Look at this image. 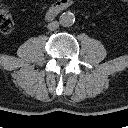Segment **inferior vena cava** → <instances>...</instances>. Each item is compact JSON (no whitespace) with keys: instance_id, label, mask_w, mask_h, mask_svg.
I'll use <instances>...</instances> for the list:
<instances>
[{"instance_id":"inferior-vena-cava-1","label":"inferior vena cava","mask_w":128,"mask_h":128,"mask_svg":"<svg viewBox=\"0 0 128 128\" xmlns=\"http://www.w3.org/2000/svg\"><path fill=\"white\" fill-rule=\"evenodd\" d=\"M59 27V22L58 21H52L50 22L48 25H47V28L50 30V31H55L56 29H58Z\"/></svg>"}]
</instances>
